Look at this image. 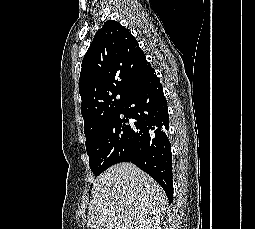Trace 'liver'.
<instances>
[{
	"mask_svg": "<svg viewBox=\"0 0 255 229\" xmlns=\"http://www.w3.org/2000/svg\"><path fill=\"white\" fill-rule=\"evenodd\" d=\"M162 187L132 163L111 166L94 182L87 226L92 229H137L166 204Z\"/></svg>",
	"mask_w": 255,
	"mask_h": 229,
	"instance_id": "1",
	"label": "liver"
}]
</instances>
